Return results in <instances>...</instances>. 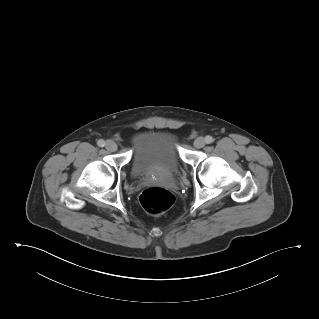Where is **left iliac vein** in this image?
<instances>
[{
  "instance_id": "obj_1",
  "label": "left iliac vein",
  "mask_w": 319,
  "mask_h": 319,
  "mask_svg": "<svg viewBox=\"0 0 319 319\" xmlns=\"http://www.w3.org/2000/svg\"><path fill=\"white\" fill-rule=\"evenodd\" d=\"M205 145V139L203 137H198L194 140V146L196 148H202Z\"/></svg>"
}]
</instances>
